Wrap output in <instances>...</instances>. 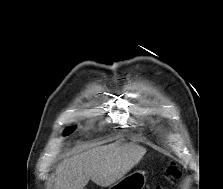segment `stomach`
I'll return each instance as SVG.
<instances>
[{"label":"stomach","mask_w":223,"mask_h":189,"mask_svg":"<svg viewBox=\"0 0 223 189\" xmlns=\"http://www.w3.org/2000/svg\"><path fill=\"white\" fill-rule=\"evenodd\" d=\"M145 182V173L142 171H136L122 177L116 183L111 185L109 189H143Z\"/></svg>","instance_id":"obj_1"}]
</instances>
